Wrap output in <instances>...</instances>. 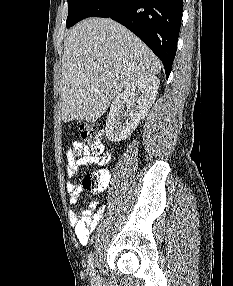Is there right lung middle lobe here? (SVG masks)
<instances>
[{
  "instance_id": "1",
  "label": "right lung middle lobe",
  "mask_w": 233,
  "mask_h": 286,
  "mask_svg": "<svg viewBox=\"0 0 233 286\" xmlns=\"http://www.w3.org/2000/svg\"><path fill=\"white\" fill-rule=\"evenodd\" d=\"M68 1V17L66 27L69 28L73 26L83 12V10L88 6L92 0H67Z\"/></svg>"
}]
</instances>
